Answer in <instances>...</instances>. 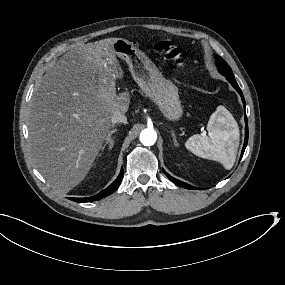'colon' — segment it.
Returning <instances> with one entry per match:
<instances>
[{
    "label": "colon",
    "mask_w": 285,
    "mask_h": 285,
    "mask_svg": "<svg viewBox=\"0 0 285 285\" xmlns=\"http://www.w3.org/2000/svg\"><path fill=\"white\" fill-rule=\"evenodd\" d=\"M153 49L164 59L170 60L180 67H184L186 64V59L181 50L170 40L157 41Z\"/></svg>",
    "instance_id": "obj_1"
}]
</instances>
